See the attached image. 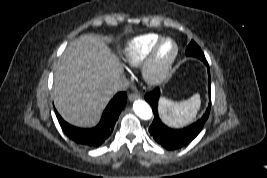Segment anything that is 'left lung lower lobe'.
Returning <instances> with one entry per match:
<instances>
[{
    "label": "left lung lower lobe",
    "instance_id": "left-lung-lower-lobe-1",
    "mask_svg": "<svg viewBox=\"0 0 267 178\" xmlns=\"http://www.w3.org/2000/svg\"><path fill=\"white\" fill-rule=\"evenodd\" d=\"M204 63L207 65L208 68V75H209L208 89H209V97L211 98L209 67L207 62ZM159 96H160V91L158 88L145 95V99L151 105L154 113V120L149 127L150 135L158 144H160L167 150H176L188 145L194 138L197 137V135L201 132L202 128L204 127V124L209 116L211 103H209L208 108L204 113V115L196 122L183 129H172L164 125L158 116L157 108H158Z\"/></svg>",
    "mask_w": 267,
    "mask_h": 178
}]
</instances>
